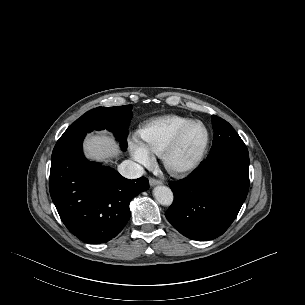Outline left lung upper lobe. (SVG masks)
I'll return each instance as SVG.
<instances>
[{
	"mask_svg": "<svg viewBox=\"0 0 305 305\" xmlns=\"http://www.w3.org/2000/svg\"><path fill=\"white\" fill-rule=\"evenodd\" d=\"M212 126L214 139L209 158L230 151L248 152L240 136L227 121L212 115Z\"/></svg>",
	"mask_w": 305,
	"mask_h": 305,
	"instance_id": "obj_1",
	"label": "left lung upper lobe"
}]
</instances>
